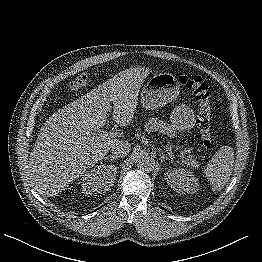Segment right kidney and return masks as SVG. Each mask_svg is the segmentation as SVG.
Here are the masks:
<instances>
[{"label":"right kidney","mask_w":262,"mask_h":262,"mask_svg":"<svg viewBox=\"0 0 262 262\" xmlns=\"http://www.w3.org/2000/svg\"><path fill=\"white\" fill-rule=\"evenodd\" d=\"M114 165H100L97 168L86 171L82 177V191L86 195L106 192L111 189L116 179Z\"/></svg>","instance_id":"ca27d5eb"}]
</instances>
